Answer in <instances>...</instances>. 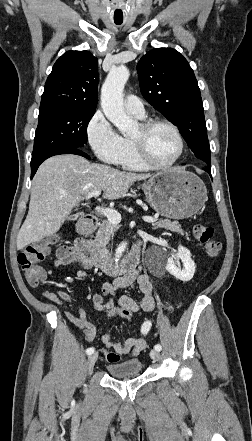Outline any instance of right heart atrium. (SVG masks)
Here are the masks:
<instances>
[{
	"label": "right heart atrium",
	"instance_id": "d8ad5b80",
	"mask_svg": "<svg viewBox=\"0 0 252 441\" xmlns=\"http://www.w3.org/2000/svg\"><path fill=\"white\" fill-rule=\"evenodd\" d=\"M88 144L101 161L118 165L125 151V140L100 110L96 111L86 126Z\"/></svg>",
	"mask_w": 252,
	"mask_h": 441
}]
</instances>
